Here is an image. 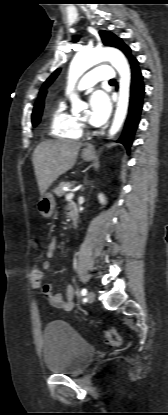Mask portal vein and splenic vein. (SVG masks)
<instances>
[{
  "label": "portal vein and splenic vein",
  "mask_w": 168,
  "mask_h": 415,
  "mask_svg": "<svg viewBox=\"0 0 168 415\" xmlns=\"http://www.w3.org/2000/svg\"><path fill=\"white\" fill-rule=\"evenodd\" d=\"M74 191H76V189ZM73 197H74V193L73 192L66 194V198L71 199Z\"/></svg>",
  "instance_id": "18ae733b"
}]
</instances>
